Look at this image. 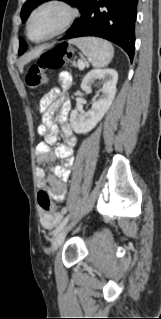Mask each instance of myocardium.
Segmentation results:
<instances>
[{"instance_id":"f54148a6","label":"myocardium","mask_w":161,"mask_h":319,"mask_svg":"<svg viewBox=\"0 0 161 319\" xmlns=\"http://www.w3.org/2000/svg\"><path fill=\"white\" fill-rule=\"evenodd\" d=\"M50 7H56L63 11V17L58 26L48 35L42 37V38H33L30 34V27L33 19L43 10L50 8ZM77 15L76 9L67 1L65 0H45L42 2L39 6H37L32 13L29 16L27 27H26V33L27 37L33 41V42H44L48 41L61 33H63L73 22Z\"/></svg>"}]
</instances>
